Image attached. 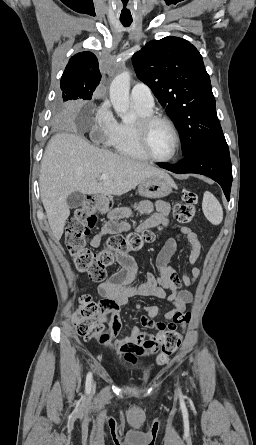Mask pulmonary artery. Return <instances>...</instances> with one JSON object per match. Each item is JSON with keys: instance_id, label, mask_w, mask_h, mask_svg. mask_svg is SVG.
<instances>
[{"instance_id": "obj_1", "label": "pulmonary artery", "mask_w": 256, "mask_h": 445, "mask_svg": "<svg viewBox=\"0 0 256 445\" xmlns=\"http://www.w3.org/2000/svg\"><path fill=\"white\" fill-rule=\"evenodd\" d=\"M131 101L134 106L144 110H152L154 106V97L150 88L142 83L134 85L131 90Z\"/></svg>"}]
</instances>
